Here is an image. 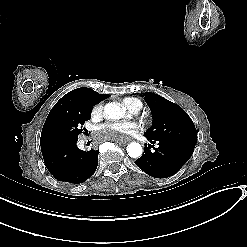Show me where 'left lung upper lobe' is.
Returning <instances> with one entry per match:
<instances>
[{
    "mask_svg": "<svg viewBox=\"0 0 247 247\" xmlns=\"http://www.w3.org/2000/svg\"><path fill=\"white\" fill-rule=\"evenodd\" d=\"M144 99L153 118L151 128L145 132L148 140H165L195 147L197 143L195 125L180 106L150 92L144 94Z\"/></svg>",
    "mask_w": 247,
    "mask_h": 247,
    "instance_id": "obj_1",
    "label": "left lung upper lobe"
}]
</instances>
